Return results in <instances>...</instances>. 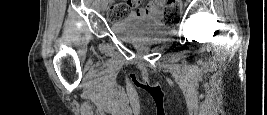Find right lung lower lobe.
Returning <instances> with one entry per match:
<instances>
[{"label": "right lung lower lobe", "instance_id": "obj_1", "mask_svg": "<svg viewBox=\"0 0 267 115\" xmlns=\"http://www.w3.org/2000/svg\"><path fill=\"white\" fill-rule=\"evenodd\" d=\"M145 89L148 90V91L150 90L149 88H145Z\"/></svg>", "mask_w": 267, "mask_h": 115}]
</instances>
